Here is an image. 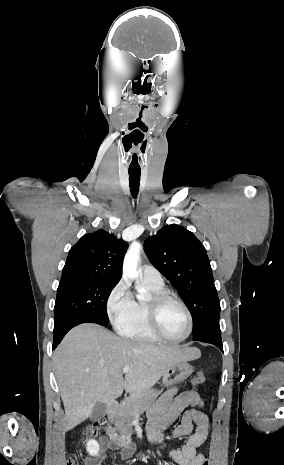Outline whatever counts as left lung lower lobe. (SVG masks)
<instances>
[{"label":"left lung lower lobe","instance_id":"0a47b994","mask_svg":"<svg viewBox=\"0 0 284 465\" xmlns=\"http://www.w3.org/2000/svg\"><path fill=\"white\" fill-rule=\"evenodd\" d=\"M193 340L211 343L217 346L223 352L222 340H221V330L218 326H210L197 335L193 336Z\"/></svg>","mask_w":284,"mask_h":465}]
</instances>
